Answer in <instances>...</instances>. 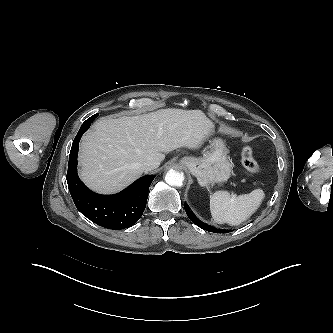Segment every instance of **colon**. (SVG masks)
Segmentation results:
<instances>
[{"label":"colon","instance_id":"colon-1","mask_svg":"<svg viewBox=\"0 0 333 333\" xmlns=\"http://www.w3.org/2000/svg\"><path fill=\"white\" fill-rule=\"evenodd\" d=\"M241 163L251 174H258L260 172V166L254 158L252 149L249 146H245L241 151Z\"/></svg>","mask_w":333,"mask_h":333}]
</instances>
